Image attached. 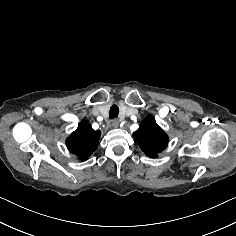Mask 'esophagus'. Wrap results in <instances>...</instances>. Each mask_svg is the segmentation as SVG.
<instances>
[{"mask_svg": "<svg viewBox=\"0 0 236 236\" xmlns=\"http://www.w3.org/2000/svg\"><path fill=\"white\" fill-rule=\"evenodd\" d=\"M109 126L111 128H117L119 126V120L118 119H113L110 123Z\"/></svg>", "mask_w": 236, "mask_h": 236, "instance_id": "1", "label": "esophagus"}]
</instances>
